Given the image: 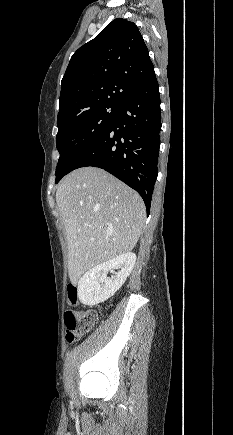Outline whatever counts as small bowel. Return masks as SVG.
<instances>
[{
	"instance_id": "obj_1",
	"label": "small bowel",
	"mask_w": 233,
	"mask_h": 435,
	"mask_svg": "<svg viewBox=\"0 0 233 435\" xmlns=\"http://www.w3.org/2000/svg\"><path fill=\"white\" fill-rule=\"evenodd\" d=\"M76 305H78L79 304V302L77 301L76 303H75Z\"/></svg>"
}]
</instances>
